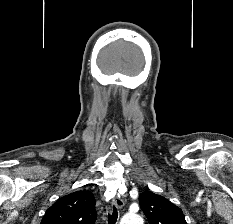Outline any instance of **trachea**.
<instances>
[{
  "label": "trachea",
  "instance_id": "3493384b",
  "mask_svg": "<svg viewBox=\"0 0 233 224\" xmlns=\"http://www.w3.org/2000/svg\"><path fill=\"white\" fill-rule=\"evenodd\" d=\"M118 218V212L115 206H113V210L111 214L108 215V224H116Z\"/></svg>",
  "mask_w": 233,
  "mask_h": 224
}]
</instances>
